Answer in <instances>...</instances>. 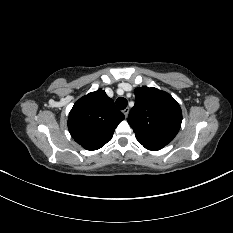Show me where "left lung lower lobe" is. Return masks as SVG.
<instances>
[{"label":"left lung lower lobe","mask_w":233,"mask_h":233,"mask_svg":"<svg viewBox=\"0 0 233 233\" xmlns=\"http://www.w3.org/2000/svg\"><path fill=\"white\" fill-rule=\"evenodd\" d=\"M164 146H157V145H154V146H148V147H145L146 149L148 150H153V151H156V150H160L161 148H163Z\"/></svg>","instance_id":"1"}]
</instances>
